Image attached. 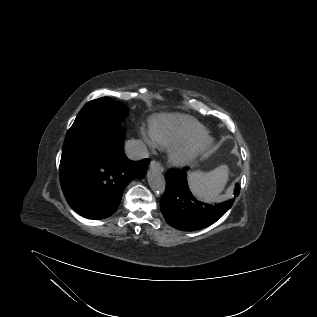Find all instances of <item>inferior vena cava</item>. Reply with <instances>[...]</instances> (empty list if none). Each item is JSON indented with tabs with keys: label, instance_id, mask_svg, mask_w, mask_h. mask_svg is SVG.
Returning <instances> with one entry per match:
<instances>
[{
	"label": "inferior vena cava",
	"instance_id": "602c4592",
	"mask_svg": "<svg viewBox=\"0 0 317 317\" xmlns=\"http://www.w3.org/2000/svg\"><path fill=\"white\" fill-rule=\"evenodd\" d=\"M125 153L131 160H141L149 157L148 149L141 140H128L125 144Z\"/></svg>",
	"mask_w": 317,
	"mask_h": 317
}]
</instances>
